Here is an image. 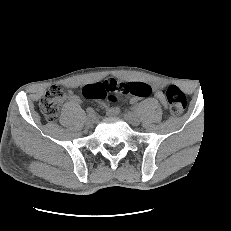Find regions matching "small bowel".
<instances>
[{"mask_svg": "<svg viewBox=\"0 0 231 231\" xmlns=\"http://www.w3.org/2000/svg\"><path fill=\"white\" fill-rule=\"evenodd\" d=\"M150 87H151V90L154 92L155 97L158 98L163 104H165V100H164V96H163V90H162L161 86L158 84H153ZM139 98L140 97L133 96L131 101L136 102ZM68 100L71 103L79 102V98L75 94H70L68 97ZM106 110H107L108 114H110V115H114V114H117L119 112L118 107H108L107 106Z\"/></svg>", "mask_w": 231, "mask_h": 231, "instance_id": "obj_1", "label": "small bowel"}]
</instances>
